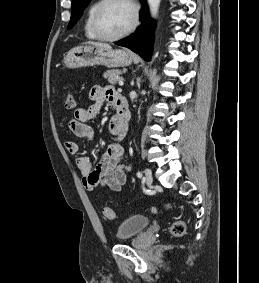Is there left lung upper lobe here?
I'll return each mask as SVG.
<instances>
[{
    "instance_id": "5c2ea615",
    "label": "left lung upper lobe",
    "mask_w": 259,
    "mask_h": 283,
    "mask_svg": "<svg viewBox=\"0 0 259 283\" xmlns=\"http://www.w3.org/2000/svg\"><path fill=\"white\" fill-rule=\"evenodd\" d=\"M90 0H72L71 5V19L68 24V29H70L81 17L83 10L87 7Z\"/></svg>"
}]
</instances>
